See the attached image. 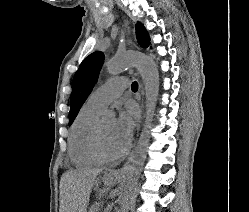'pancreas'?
Segmentation results:
<instances>
[{
    "label": "pancreas",
    "mask_w": 249,
    "mask_h": 212,
    "mask_svg": "<svg viewBox=\"0 0 249 212\" xmlns=\"http://www.w3.org/2000/svg\"><path fill=\"white\" fill-rule=\"evenodd\" d=\"M91 212H98V208H96V206H92Z\"/></svg>",
    "instance_id": "obj_1"
}]
</instances>
